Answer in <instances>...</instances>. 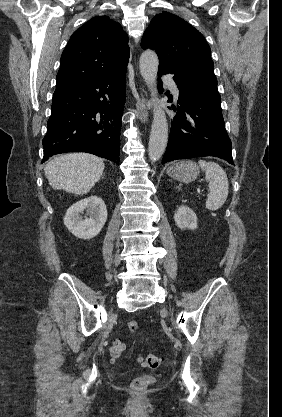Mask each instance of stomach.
<instances>
[{
	"mask_svg": "<svg viewBox=\"0 0 282 417\" xmlns=\"http://www.w3.org/2000/svg\"><path fill=\"white\" fill-rule=\"evenodd\" d=\"M167 174L181 180V182H192L199 174V166L193 160H181V162H174L168 166Z\"/></svg>",
	"mask_w": 282,
	"mask_h": 417,
	"instance_id": "obj_1",
	"label": "stomach"
}]
</instances>
